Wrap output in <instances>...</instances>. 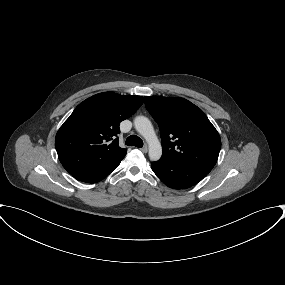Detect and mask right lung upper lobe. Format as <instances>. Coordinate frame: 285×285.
<instances>
[{
	"mask_svg": "<svg viewBox=\"0 0 285 285\" xmlns=\"http://www.w3.org/2000/svg\"><path fill=\"white\" fill-rule=\"evenodd\" d=\"M142 104L141 96L114 92L81 102L55 137L58 157L67 172L91 176L114 170L127 153L119 147V124Z\"/></svg>",
	"mask_w": 285,
	"mask_h": 285,
	"instance_id": "1",
	"label": "right lung upper lobe"
}]
</instances>
